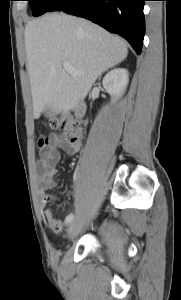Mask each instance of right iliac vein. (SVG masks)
I'll use <instances>...</instances> for the list:
<instances>
[{"label": "right iliac vein", "mask_w": 181, "mask_h": 300, "mask_svg": "<svg viewBox=\"0 0 181 300\" xmlns=\"http://www.w3.org/2000/svg\"><path fill=\"white\" fill-rule=\"evenodd\" d=\"M78 220L72 221L68 226V236L71 238L75 235L77 229H78Z\"/></svg>", "instance_id": "right-iliac-vein-1"}]
</instances>
